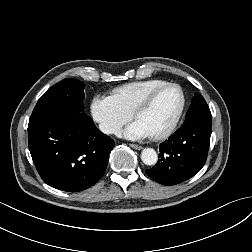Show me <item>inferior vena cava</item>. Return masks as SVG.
Here are the masks:
<instances>
[{
    "label": "inferior vena cava",
    "instance_id": "obj_1",
    "mask_svg": "<svg viewBox=\"0 0 252 252\" xmlns=\"http://www.w3.org/2000/svg\"><path fill=\"white\" fill-rule=\"evenodd\" d=\"M101 130L106 133V134H110V133H114L118 131V128H113L109 125H102L101 126Z\"/></svg>",
    "mask_w": 252,
    "mask_h": 252
}]
</instances>
